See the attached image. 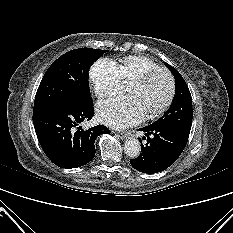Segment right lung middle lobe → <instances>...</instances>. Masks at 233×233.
<instances>
[{
	"label": "right lung middle lobe",
	"mask_w": 233,
	"mask_h": 233,
	"mask_svg": "<svg viewBox=\"0 0 233 233\" xmlns=\"http://www.w3.org/2000/svg\"><path fill=\"white\" fill-rule=\"evenodd\" d=\"M106 51L79 48L59 57L43 76L33 111L46 107L76 106L91 101L87 73Z\"/></svg>",
	"instance_id": "1"
}]
</instances>
